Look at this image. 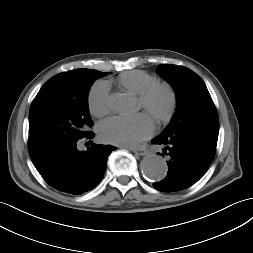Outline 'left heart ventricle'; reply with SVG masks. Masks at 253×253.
<instances>
[{
	"label": "left heart ventricle",
	"instance_id": "b2bd125f",
	"mask_svg": "<svg viewBox=\"0 0 253 253\" xmlns=\"http://www.w3.org/2000/svg\"><path fill=\"white\" fill-rule=\"evenodd\" d=\"M168 105V97L164 92L156 95L153 99L150 110L147 111L153 118L165 112ZM141 106V104H140Z\"/></svg>",
	"mask_w": 253,
	"mask_h": 253
}]
</instances>
